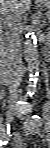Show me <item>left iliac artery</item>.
<instances>
[{"mask_svg":"<svg viewBox=\"0 0 50 148\" xmlns=\"http://www.w3.org/2000/svg\"><path fill=\"white\" fill-rule=\"evenodd\" d=\"M33 119L35 121V123L38 125V126H41L43 124V120L41 117H39L38 115H34L33 116Z\"/></svg>","mask_w":50,"mask_h":148,"instance_id":"obj_1","label":"left iliac artery"}]
</instances>
